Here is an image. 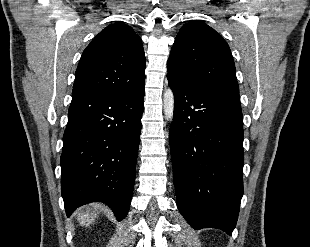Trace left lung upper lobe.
I'll list each match as a JSON object with an SVG mask.
<instances>
[{"label":"left lung upper lobe","instance_id":"5c2ea615","mask_svg":"<svg viewBox=\"0 0 310 247\" xmlns=\"http://www.w3.org/2000/svg\"><path fill=\"white\" fill-rule=\"evenodd\" d=\"M178 81L239 99L234 60L226 41L199 21L183 25L167 64Z\"/></svg>","mask_w":310,"mask_h":247}]
</instances>
